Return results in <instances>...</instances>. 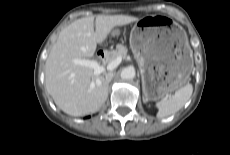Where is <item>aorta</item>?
<instances>
[{"label":"aorta","instance_id":"aorta-1","mask_svg":"<svg viewBox=\"0 0 230 155\" xmlns=\"http://www.w3.org/2000/svg\"><path fill=\"white\" fill-rule=\"evenodd\" d=\"M136 73H135V69L131 66L129 67H125L122 71H121V78L124 80H132L134 79Z\"/></svg>","mask_w":230,"mask_h":155}]
</instances>
